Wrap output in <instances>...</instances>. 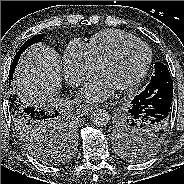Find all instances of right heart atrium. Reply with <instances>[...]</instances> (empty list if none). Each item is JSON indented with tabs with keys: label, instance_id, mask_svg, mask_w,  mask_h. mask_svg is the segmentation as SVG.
I'll list each match as a JSON object with an SVG mask.
<instances>
[{
	"label": "right heart atrium",
	"instance_id": "1",
	"mask_svg": "<svg viewBox=\"0 0 184 184\" xmlns=\"http://www.w3.org/2000/svg\"><path fill=\"white\" fill-rule=\"evenodd\" d=\"M63 66L66 79L72 86L82 84L98 71V64L92 59L87 45L78 40L71 41L66 47Z\"/></svg>",
	"mask_w": 184,
	"mask_h": 184
}]
</instances>
